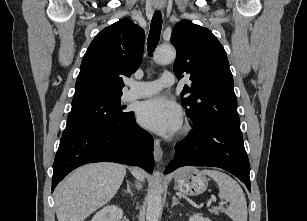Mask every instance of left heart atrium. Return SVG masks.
<instances>
[{
	"label": "left heart atrium",
	"instance_id": "1",
	"mask_svg": "<svg viewBox=\"0 0 307 221\" xmlns=\"http://www.w3.org/2000/svg\"><path fill=\"white\" fill-rule=\"evenodd\" d=\"M137 118L146 129L165 136L178 131L182 124L180 108L162 96L142 102Z\"/></svg>",
	"mask_w": 307,
	"mask_h": 221
}]
</instances>
